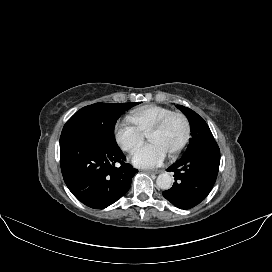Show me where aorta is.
Masks as SVG:
<instances>
[{
  "label": "aorta",
  "mask_w": 272,
  "mask_h": 272,
  "mask_svg": "<svg viewBox=\"0 0 272 272\" xmlns=\"http://www.w3.org/2000/svg\"><path fill=\"white\" fill-rule=\"evenodd\" d=\"M156 184L160 189L168 190L172 187L173 178L168 173H162L157 177Z\"/></svg>",
  "instance_id": "1"
}]
</instances>
